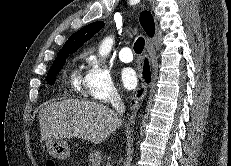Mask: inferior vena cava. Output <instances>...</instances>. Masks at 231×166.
I'll return each instance as SVG.
<instances>
[{
	"label": "inferior vena cava",
	"mask_w": 231,
	"mask_h": 166,
	"mask_svg": "<svg viewBox=\"0 0 231 166\" xmlns=\"http://www.w3.org/2000/svg\"><path fill=\"white\" fill-rule=\"evenodd\" d=\"M112 106L115 108L116 112L119 115H123L125 112L124 103L118 93H113L110 100Z\"/></svg>",
	"instance_id": "obj_1"
}]
</instances>
